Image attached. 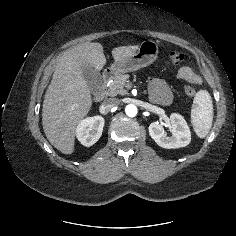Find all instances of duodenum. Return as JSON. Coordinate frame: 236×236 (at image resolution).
<instances>
[{"mask_svg":"<svg viewBox=\"0 0 236 236\" xmlns=\"http://www.w3.org/2000/svg\"><path fill=\"white\" fill-rule=\"evenodd\" d=\"M113 76H114V71L112 69H108L104 72L102 76V85L100 89L95 91L93 94L94 101L99 102L106 96L107 85Z\"/></svg>","mask_w":236,"mask_h":236,"instance_id":"1","label":"duodenum"}]
</instances>
